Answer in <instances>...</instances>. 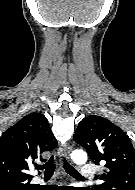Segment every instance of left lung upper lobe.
I'll return each instance as SVG.
<instances>
[{"mask_svg": "<svg viewBox=\"0 0 135 190\" xmlns=\"http://www.w3.org/2000/svg\"><path fill=\"white\" fill-rule=\"evenodd\" d=\"M74 140L86 148L95 164L105 161L104 181L93 190H135V150L129 137L116 125L101 116L84 118Z\"/></svg>", "mask_w": 135, "mask_h": 190, "instance_id": "5c2ea615", "label": "left lung upper lobe"}]
</instances>
